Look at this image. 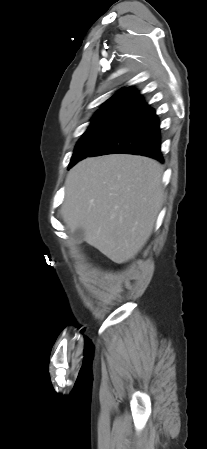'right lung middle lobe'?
<instances>
[{
	"instance_id": "dd1d6c3e",
	"label": "right lung middle lobe",
	"mask_w": 207,
	"mask_h": 449,
	"mask_svg": "<svg viewBox=\"0 0 207 449\" xmlns=\"http://www.w3.org/2000/svg\"><path fill=\"white\" fill-rule=\"evenodd\" d=\"M136 114L130 112H108L96 114L86 132L78 141L68 169L78 161L90 156L107 139L128 124Z\"/></svg>"
}]
</instances>
